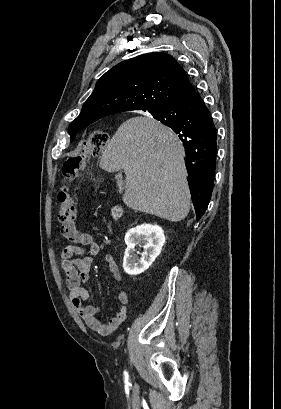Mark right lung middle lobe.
<instances>
[{"mask_svg":"<svg viewBox=\"0 0 281 409\" xmlns=\"http://www.w3.org/2000/svg\"><path fill=\"white\" fill-rule=\"evenodd\" d=\"M155 119H157L158 121H161V123H163V124L166 125V126H167L168 124H170L171 121H172V118H171V117H167V118H155ZM81 129H82V128H79V127H69V128H68L69 134H70V136H71V141L74 140L76 133H77L79 130H81Z\"/></svg>","mask_w":281,"mask_h":409,"instance_id":"1","label":"right lung middle lobe"}]
</instances>
